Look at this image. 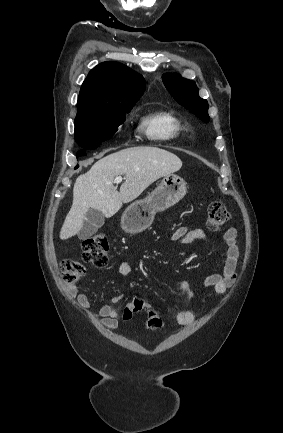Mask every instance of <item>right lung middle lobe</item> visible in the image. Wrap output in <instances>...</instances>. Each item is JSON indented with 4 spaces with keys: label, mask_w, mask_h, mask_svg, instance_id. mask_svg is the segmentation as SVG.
<instances>
[{
    "label": "right lung middle lobe",
    "mask_w": 283,
    "mask_h": 433,
    "mask_svg": "<svg viewBox=\"0 0 283 433\" xmlns=\"http://www.w3.org/2000/svg\"><path fill=\"white\" fill-rule=\"evenodd\" d=\"M129 110L130 106H122L78 111L75 118L77 143L87 150L97 148L117 131L125 120V112ZM83 155H86L84 150L78 152V156Z\"/></svg>",
    "instance_id": "obj_1"
}]
</instances>
